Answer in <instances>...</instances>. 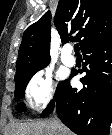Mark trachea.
Here are the masks:
<instances>
[{
	"mask_svg": "<svg viewBox=\"0 0 112 135\" xmlns=\"http://www.w3.org/2000/svg\"><path fill=\"white\" fill-rule=\"evenodd\" d=\"M74 51H75L76 55H79V46H78V44L74 45Z\"/></svg>",
	"mask_w": 112,
	"mask_h": 135,
	"instance_id": "3493384b",
	"label": "trachea"
}]
</instances>
